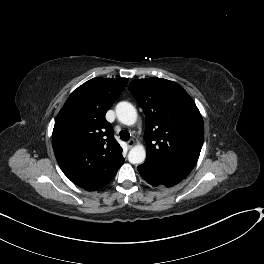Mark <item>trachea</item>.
Masks as SVG:
<instances>
[{
  "label": "trachea",
  "instance_id": "trachea-1",
  "mask_svg": "<svg viewBox=\"0 0 264 264\" xmlns=\"http://www.w3.org/2000/svg\"><path fill=\"white\" fill-rule=\"evenodd\" d=\"M120 139L123 141H128L130 139V134L126 130H121L119 132Z\"/></svg>",
  "mask_w": 264,
  "mask_h": 264
}]
</instances>
